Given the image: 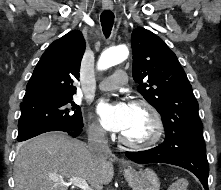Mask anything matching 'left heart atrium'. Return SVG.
<instances>
[{
    "label": "left heart atrium",
    "mask_w": 221,
    "mask_h": 190,
    "mask_svg": "<svg viewBox=\"0 0 221 190\" xmlns=\"http://www.w3.org/2000/svg\"><path fill=\"white\" fill-rule=\"evenodd\" d=\"M103 127L112 132L125 131L130 123L131 105L125 101L101 100L96 108Z\"/></svg>",
    "instance_id": "1"
}]
</instances>
